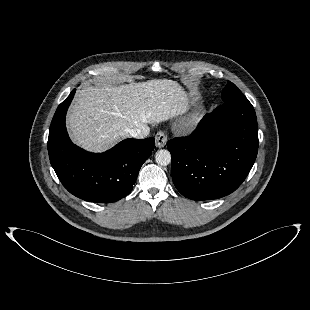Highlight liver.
I'll list each match as a JSON object with an SVG mask.
<instances>
[{"mask_svg": "<svg viewBox=\"0 0 310 310\" xmlns=\"http://www.w3.org/2000/svg\"><path fill=\"white\" fill-rule=\"evenodd\" d=\"M186 104L184 89L168 79L85 85L75 96L67 124L77 145L102 152L128 137L127 129L149 132L148 124L183 114Z\"/></svg>", "mask_w": 310, "mask_h": 310, "instance_id": "obj_1", "label": "liver"}]
</instances>
